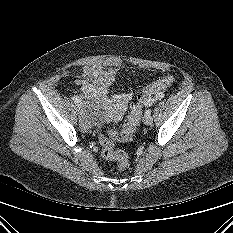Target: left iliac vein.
<instances>
[{"instance_id": "1", "label": "left iliac vein", "mask_w": 233, "mask_h": 233, "mask_svg": "<svg viewBox=\"0 0 233 233\" xmlns=\"http://www.w3.org/2000/svg\"><path fill=\"white\" fill-rule=\"evenodd\" d=\"M144 123L146 125H151L153 123V118L151 115H145L144 116Z\"/></svg>"}]
</instances>
